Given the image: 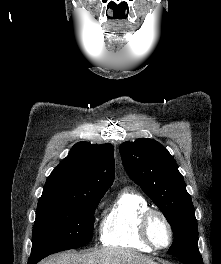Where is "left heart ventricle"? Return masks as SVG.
Wrapping results in <instances>:
<instances>
[{
  "instance_id": "1",
  "label": "left heart ventricle",
  "mask_w": 221,
  "mask_h": 264,
  "mask_svg": "<svg viewBox=\"0 0 221 264\" xmlns=\"http://www.w3.org/2000/svg\"><path fill=\"white\" fill-rule=\"evenodd\" d=\"M150 234L153 241L159 246L165 245L169 240L168 229L164 222L157 216L151 220Z\"/></svg>"
}]
</instances>
